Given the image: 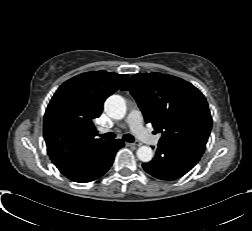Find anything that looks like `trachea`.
<instances>
[{
	"label": "trachea",
	"mask_w": 252,
	"mask_h": 231,
	"mask_svg": "<svg viewBox=\"0 0 252 231\" xmlns=\"http://www.w3.org/2000/svg\"><path fill=\"white\" fill-rule=\"evenodd\" d=\"M99 136L103 139H106V140H112L116 137V135L113 133V132H108V133H105V134H99ZM123 139L127 142H134V137L130 134H125L123 136Z\"/></svg>",
	"instance_id": "1"
}]
</instances>
